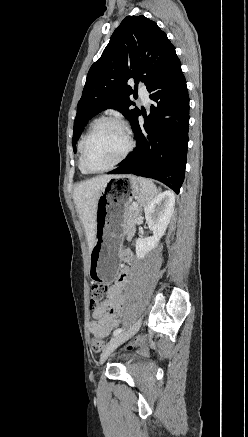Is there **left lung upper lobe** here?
Returning <instances> with one entry per match:
<instances>
[{"label":"left lung upper lobe","instance_id":"1","mask_svg":"<svg viewBox=\"0 0 248 437\" xmlns=\"http://www.w3.org/2000/svg\"><path fill=\"white\" fill-rule=\"evenodd\" d=\"M177 58L175 47L154 21L127 16L113 32L101 57L90 68L74 121L75 149L86 123L107 108L120 111L133 124L140 110L130 100V79L147 89Z\"/></svg>","mask_w":248,"mask_h":437}]
</instances>
